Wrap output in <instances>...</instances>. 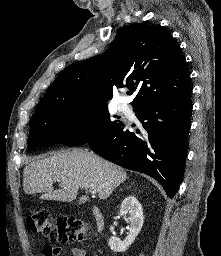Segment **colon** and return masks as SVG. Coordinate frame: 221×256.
<instances>
[{
  "mask_svg": "<svg viewBox=\"0 0 221 256\" xmlns=\"http://www.w3.org/2000/svg\"><path fill=\"white\" fill-rule=\"evenodd\" d=\"M28 228L32 232L48 237L52 242L65 244L72 241L86 239L87 224L76 218L60 217L53 219L50 213L43 208L37 209L26 218ZM47 250L57 255L59 248L47 246Z\"/></svg>",
  "mask_w": 221,
  "mask_h": 256,
  "instance_id": "1",
  "label": "colon"
}]
</instances>
